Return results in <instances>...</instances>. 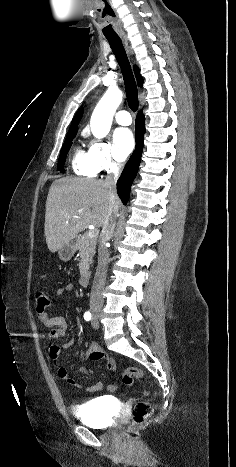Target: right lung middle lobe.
<instances>
[{
    "label": "right lung middle lobe",
    "instance_id": "right-lung-middle-lobe-1",
    "mask_svg": "<svg viewBox=\"0 0 236 467\" xmlns=\"http://www.w3.org/2000/svg\"><path fill=\"white\" fill-rule=\"evenodd\" d=\"M76 133H73V134H67L66 136V139H65V142L61 148V151H60V157H59V160H58V166H57V170H61V172L63 173V167H64V163H65V158H66V155L72 145V140L74 139Z\"/></svg>",
    "mask_w": 236,
    "mask_h": 467
}]
</instances>
